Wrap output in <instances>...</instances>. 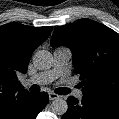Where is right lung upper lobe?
Segmentation results:
<instances>
[{
    "instance_id": "obj_1",
    "label": "right lung upper lobe",
    "mask_w": 119,
    "mask_h": 119,
    "mask_svg": "<svg viewBox=\"0 0 119 119\" xmlns=\"http://www.w3.org/2000/svg\"><path fill=\"white\" fill-rule=\"evenodd\" d=\"M52 31L17 23L0 26V119H15L33 93L23 89L18 77L27 72L32 52Z\"/></svg>"
}]
</instances>
